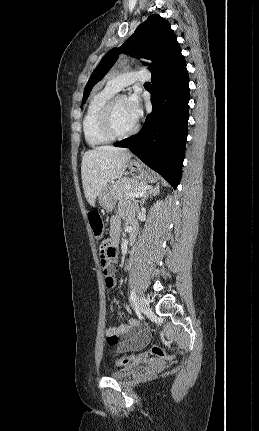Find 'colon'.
<instances>
[{
	"label": "colon",
	"instance_id": "1",
	"mask_svg": "<svg viewBox=\"0 0 259 431\" xmlns=\"http://www.w3.org/2000/svg\"><path fill=\"white\" fill-rule=\"evenodd\" d=\"M88 219L94 237L99 240L101 265L102 267H109L116 258V248L107 239L102 240L104 234L103 218L98 212L91 211L88 214ZM106 335L107 342L110 345L116 344L119 340V337L115 332H109ZM149 356L163 359H168L172 357V355L168 353L164 348L158 345H152L147 351L139 353L137 355L116 358V364L119 366L127 367L134 364H138Z\"/></svg>",
	"mask_w": 259,
	"mask_h": 431
}]
</instances>
